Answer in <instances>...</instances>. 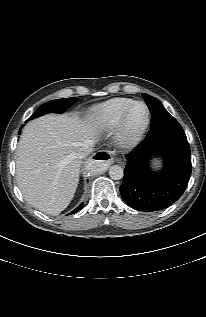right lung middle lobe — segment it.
<instances>
[{
	"instance_id": "1",
	"label": "right lung middle lobe",
	"mask_w": 206,
	"mask_h": 317,
	"mask_svg": "<svg viewBox=\"0 0 206 317\" xmlns=\"http://www.w3.org/2000/svg\"><path fill=\"white\" fill-rule=\"evenodd\" d=\"M76 97L56 99L42 104L31 116V118H37L48 113H63L68 109L74 102Z\"/></svg>"
}]
</instances>
